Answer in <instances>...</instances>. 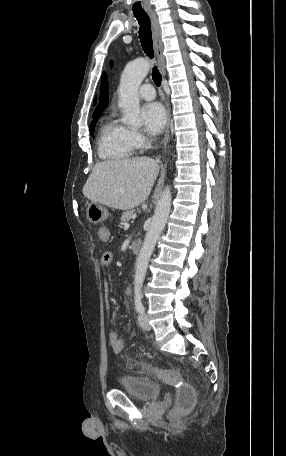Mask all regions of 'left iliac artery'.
I'll list each match as a JSON object with an SVG mask.
<instances>
[{
	"mask_svg": "<svg viewBox=\"0 0 286 456\" xmlns=\"http://www.w3.org/2000/svg\"><path fill=\"white\" fill-rule=\"evenodd\" d=\"M134 300H135V309L138 313H144L145 308L142 303V293L140 290H135L134 293Z\"/></svg>",
	"mask_w": 286,
	"mask_h": 456,
	"instance_id": "44dca946",
	"label": "left iliac artery"
}]
</instances>
